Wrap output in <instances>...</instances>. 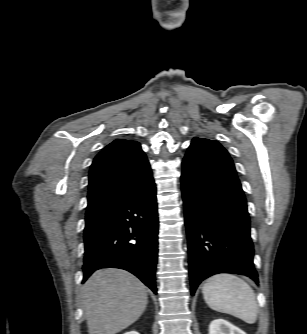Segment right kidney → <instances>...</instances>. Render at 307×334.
I'll list each match as a JSON object with an SVG mask.
<instances>
[{
    "label": "right kidney",
    "instance_id": "1",
    "mask_svg": "<svg viewBox=\"0 0 307 334\" xmlns=\"http://www.w3.org/2000/svg\"><path fill=\"white\" fill-rule=\"evenodd\" d=\"M124 334H139L137 331H129V332H126Z\"/></svg>",
    "mask_w": 307,
    "mask_h": 334
}]
</instances>
